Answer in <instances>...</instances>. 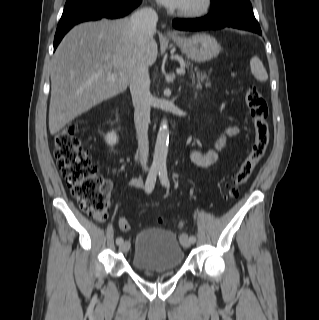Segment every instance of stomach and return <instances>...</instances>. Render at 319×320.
<instances>
[{
  "instance_id": "obj_1",
  "label": "stomach",
  "mask_w": 319,
  "mask_h": 320,
  "mask_svg": "<svg viewBox=\"0 0 319 320\" xmlns=\"http://www.w3.org/2000/svg\"><path fill=\"white\" fill-rule=\"evenodd\" d=\"M173 42L187 58L196 62L209 61L220 53L221 47L214 37L198 33L190 37H174Z\"/></svg>"
}]
</instances>
